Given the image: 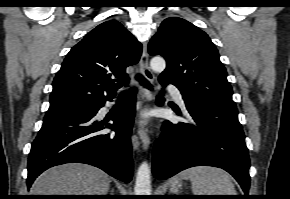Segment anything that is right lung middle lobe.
Segmentation results:
<instances>
[{
    "label": "right lung middle lobe",
    "mask_w": 290,
    "mask_h": 199,
    "mask_svg": "<svg viewBox=\"0 0 290 199\" xmlns=\"http://www.w3.org/2000/svg\"><path fill=\"white\" fill-rule=\"evenodd\" d=\"M92 109H94V107H92V108H87V109H82V110L75 111V112H72V113H68V114H65V115L76 114V113H82V112H86L87 110H92ZM60 116H64V115H60Z\"/></svg>",
    "instance_id": "right-lung-middle-lobe-1"
}]
</instances>
